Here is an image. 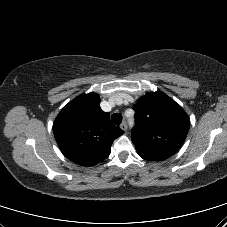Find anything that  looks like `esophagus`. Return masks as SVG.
Masks as SVG:
<instances>
[{"label":"esophagus","mask_w":227,"mask_h":227,"mask_svg":"<svg viewBox=\"0 0 227 227\" xmlns=\"http://www.w3.org/2000/svg\"><path fill=\"white\" fill-rule=\"evenodd\" d=\"M120 128L123 130V131H127V124L125 122L121 123L120 124Z\"/></svg>","instance_id":"esophagus-1"}]
</instances>
